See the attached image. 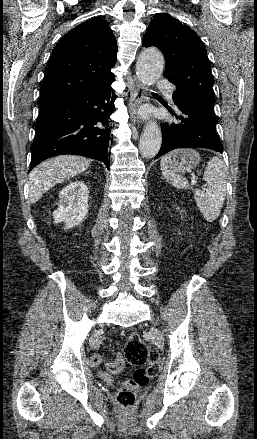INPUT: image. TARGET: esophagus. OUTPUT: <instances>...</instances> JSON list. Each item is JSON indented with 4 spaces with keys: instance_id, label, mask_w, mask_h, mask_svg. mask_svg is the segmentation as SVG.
Listing matches in <instances>:
<instances>
[{
    "instance_id": "obj_1",
    "label": "esophagus",
    "mask_w": 257,
    "mask_h": 439,
    "mask_svg": "<svg viewBox=\"0 0 257 439\" xmlns=\"http://www.w3.org/2000/svg\"><path fill=\"white\" fill-rule=\"evenodd\" d=\"M144 94V86L135 79L134 91L128 105L130 115L134 121H137L139 118V108L144 100Z\"/></svg>"
}]
</instances>
